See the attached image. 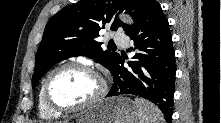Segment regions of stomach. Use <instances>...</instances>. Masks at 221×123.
I'll use <instances>...</instances> for the list:
<instances>
[{
	"instance_id": "1",
	"label": "stomach",
	"mask_w": 221,
	"mask_h": 123,
	"mask_svg": "<svg viewBox=\"0 0 221 123\" xmlns=\"http://www.w3.org/2000/svg\"><path fill=\"white\" fill-rule=\"evenodd\" d=\"M138 120L136 103L130 98L117 96L84 109L66 123H137Z\"/></svg>"
}]
</instances>
